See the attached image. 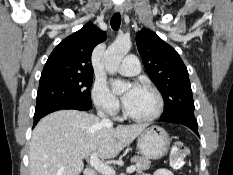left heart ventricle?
<instances>
[{
    "label": "left heart ventricle",
    "instance_id": "obj_1",
    "mask_svg": "<svg viewBox=\"0 0 233 175\" xmlns=\"http://www.w3.org/2000/svg\"><path fill=\"white\" fill-rule=\"evenodd\" d=\"M125 106L132 115L146 116L154 111L156 99L150 92L140 89Z\"/></svg>",
    "mask_w": 233,
    "mask_h": 175
}]
</instances>
